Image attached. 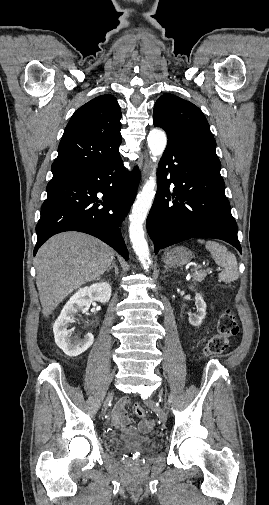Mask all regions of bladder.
<instances>
[{
    "label": "bladder",
    "mask_w": 269,
    "mask_h": 505,
    "mask_svg": "<svg viewBox=\"0 0 269 505\" xmlns=\"http://www.w3.org/2000/svg\"><path fill=\"white\" fill-rule=\"evenodd\" d=\"M116 445H129L134 447L150 445L153 439L150 436L120 437L115 441Z\"/></svg>",
    "instance_id": "31cf9c89"
}]
</instances>
